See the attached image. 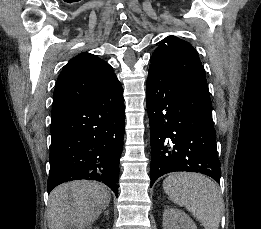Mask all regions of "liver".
Listing matches in <instances>:
<instances>
[{"instance_id": "1", "label": "liver", "mask_w": 261, "mask_h": 229, "mask_svg": "<svg viewBox=\"0 0 261 229\" xmlns=\"http://www.w3.org/2000/svg\"><path fill=\"white\" fill-rule=\"evenodd\" d=\"M111 195L97 181H70L51 191L48 229H90L110 203Z\"/></svg>"}]
</instances>
